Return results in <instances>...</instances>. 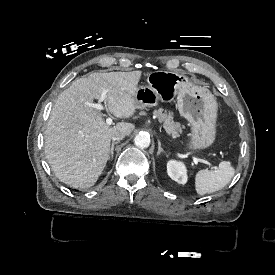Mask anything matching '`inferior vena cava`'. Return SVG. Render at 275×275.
<instances>
[{
    "instance_id": "602c4592",
    "label": "inferior vena cava",
    "mask_w": 275,
    "mask_h": 275,
    "mask_svg": "<svg viewBox=\"0 0 275 275\" xmlns=\"http://www.w3.org/2000/svg\"><path fill=\"white\" fill-rule=\"evenodd\" d=\"M126 136V132L123 130H116L112 136V141H120L122 139H124Z\"/></svg>"
}]
</instances>
